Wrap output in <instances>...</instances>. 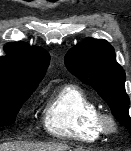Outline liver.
Masks as SVG:
<instances>
[{"instance_id": "1", "label": "liver", "mask_w": 131, "mask_h": 151, "mask_svg": "<svg viewBox=\"0 0 131 151\" xmlns=\"http://www.w3.org/2000/svg\"><path fill=\"white\" fill-rule=\"evenodd\" d=\"M71 148L65 144L57 143H4L0 145V151H71Z\"/></svg>"}]
</instances>
